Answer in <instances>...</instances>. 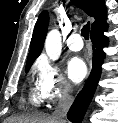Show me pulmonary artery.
Wrapping results in <instances>:
<instances>
[{
	"instance_id": "1",
	"label": "pulmonary artery",
	"mask_w": 118,
	"mask_h": 123,
	"mask_svg": "<svg viewBox=\"0 0 118 123\" xmlns=\"http://www.w3.org/2000/svg\"><path fill=\"white\" fill-rule=\"evenodd\" d=\"M67 46L72 51H80L83 48V41L78 33H73L67 40Z\"/></svg>"
}]
</instances>
